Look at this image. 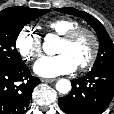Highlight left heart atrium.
<instances>
[{
  "label": "left heart atrium",
  "mask_w": 114,
  "mask_h": 114,
  "mask_svg": "<svg viewBox=\"0 0 114 114\" xmlns=\"http://www.w3.org/2000/svg\"><path fill=\"white\" fill-rule=\"evenodd\" d=\"M34 72L41 77H56L69 74L77 69V64L67 53L44 56L34 64Z\"/></svg>",
  "instance_id": "obj_1"
}]
</instances>
